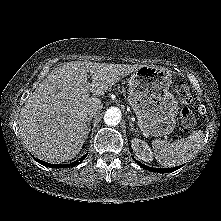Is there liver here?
<instances>
[{
  "instance_id": "obj_1",
  "label": "liver",
  "mask_w": 221,
  "mask_h": 221,
  "mask_svg": "<svg viewBox=\"0 0 221 221\" xmlns=\"http://www.w3.org/2000/svg\"><path fill=\"white\" fill-rule=\"evenodd\" d=\"M140 66L75 61L52 70L20 111L19 132L27 149L50 163L73 159L85 142L87 110L101 109L98 96Z\"/></svg>"
}]
</instances>
